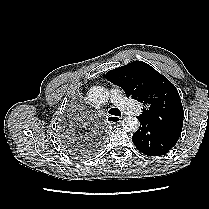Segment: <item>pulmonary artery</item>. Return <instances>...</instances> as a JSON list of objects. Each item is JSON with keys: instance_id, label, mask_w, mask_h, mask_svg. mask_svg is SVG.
I'll return each mask as SVG.
<instances>
[{"instance_id": "obj_1", "label": "pulmonary artery", "mask_w": 209, "mask_h": 209, "mask_svg": "<svg viewBox=\"0 0 209 209\" xmlns=\"http://www.w3.org/2000/svg\"><path fill=\"white\" fill-rule=\"evenodd\" d=\"M110 96L112 103L125 113L131 115L138 114V107L131 100L125 98L118 89H112Z\"/></svg>"}]
</instances>
